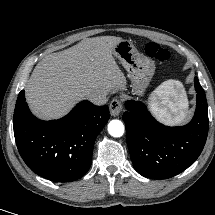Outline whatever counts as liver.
Returning a JSON list of instances; mask_svg holds the SVG:
<instances>
[{"label":"liver","instance_id":"obj_1","mask_svg":"<svg viewBox=\"0 0 215 215\" xmlns=\"http://www.w3.org/2000/svg\"><path fill=\"white\" fill-rule=\"evenodd\" d=\"M120 41L115 36L87 38L43 58L25 86L31 111L41 119H57L89 93L124 90L126 78L113 57Z\"/></svg>","mask_w":215,"mask_h":215}]
</instances>
